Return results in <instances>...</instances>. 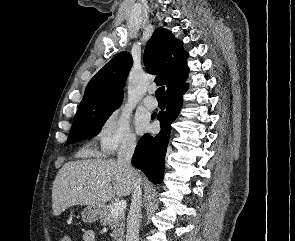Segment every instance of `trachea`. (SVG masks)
<instances>
[{"instance_id": "obj_1", "label": "trachea", "mask_w": 295, "mask_h": 241, "mask_svg": "<svg viewBox=\"0 0 295 241\" xmlns=\"http://www.w3.org/2000/svg\"><path fill=\"white\" fill-rule=\"evenodd\" d=\"M156 97L158 100H166V93H165V88L164 86L159 87L156 90Z\"/></svg>"}]
</instances>
